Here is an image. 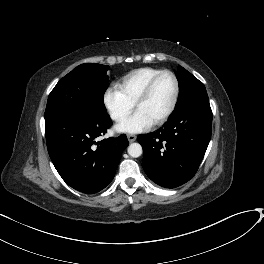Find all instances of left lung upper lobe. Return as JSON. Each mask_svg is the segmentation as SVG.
Segmentation results:
<instances>
[{"label": "left lung upper lobe", "instance_id": "1", "mask_svg": "<svg viewBox=\"0 0 264 264\" xmlns=\"http://www.w3.org/2000/svg\"><path fill=\"white\" fill-rule=\"evenodd\" d=\"M176 77L178 79L180 92L174 112L192 100L208 98L203 83L183 67H178Z\"/></svg>", "mask_w": 264, "mask_h": 264}]
</instances>
